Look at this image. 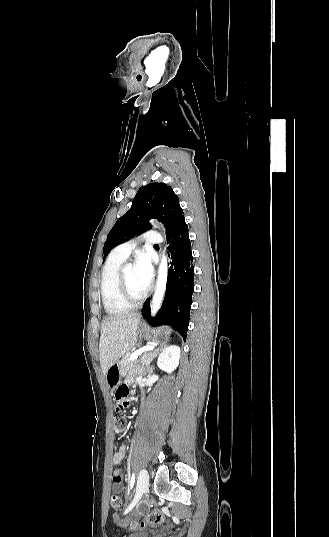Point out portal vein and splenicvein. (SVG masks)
I'll list each match as a JSON object with an SVG mask.
<instances>
[{
	"label": "portal vein and splenic vein",
	"instance_id": "18ae733b",
	"mask_svg": "<svg viewBox=\"0 0 329 537\" xmlns=\"http://www.w3.org/2000/svg\"><path fill=\"white\" fill-rule=\"evenodd\" d=\"M153 349H154L153 346H148V347L139 349L138 351H136V352H134L133 354L130 355L129 362L135 361L143 352H145L147 350H153Z\"/></svg>",
	"mask_w": 329,
	"mask_h": 537
}]
</instances>
